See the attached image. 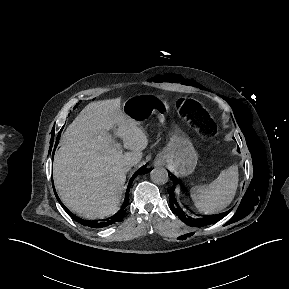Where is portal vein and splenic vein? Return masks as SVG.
I'll return each instance as SVG.
<instances>
[{
    "instance_id": "1",
    "label": "portal vein and splenic vein",
    "mask_w": 289,
    "mask_h": 289,
    "mask_svg": "<svg viewBox=\"0 0 289 289\" xmlns=\"http://www.w3.org/2000/svg\"><path fill=\"white\" fill-rule=\"evenodd\" d=\"M115 146H116L117 148H119V144H118V143H116Z\"/></svg>"
}]
</instances>
